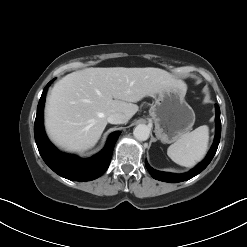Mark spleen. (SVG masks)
I'll list each match as a JSON object with an SVG mask.
<instances>
[{
  "label": "spleen",
  "instance_id": "spleen-1",
  "mask_svg": "<svg viewBox=\"0 0 247 247\" xmlns=\"http://www.w3.org/2000/svg\"><path fill=\"white\" fill-rule=\"evenodd\" d=\"M208 140V126H200L191 132L183 134L174 144L170 145L167 149V154L175 163L191 167L205 155Z\"/></svg>",
  "mask_w": 247,
  "mask_h": 247
}]
</instances>
